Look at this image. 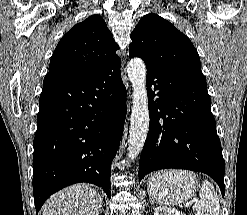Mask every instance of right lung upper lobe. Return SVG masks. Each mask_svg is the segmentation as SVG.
<instances>
[{
    "label": "right lung upper lobe",
    "instance_id": "right-lung-upper-lobe-1",
    "mask_svg": "<svg viewBox=\"0 0 247 215\" xmlns=\"http://www.w3.org/2000/svg\"><path fill=\"white\" fill-rule=\"evenodd\" d=\"M118 48L104 19L92 15L62 37L51 57L49 72L74 79L89 77L121 62Z\"/></svg>",
    "mask_w": 247,
    "mask_h": 215
}]
</instances>
